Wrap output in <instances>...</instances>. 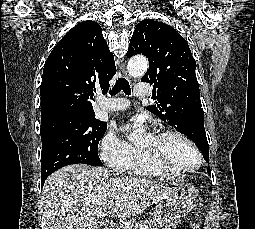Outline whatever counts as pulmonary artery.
Listing matches in <instances>:
<instances>
[{
  "label": "pulmonary artery",
  "mask_w": 255,
  "mask_h": 229,
  "mask_svg": "<svg viewBox=\"0 0 255 229\" xmlns=\"http://www.w3.org/2000/svg\"><path fill=\"white\" fill-rule=\"evenodd\" d=\"M151 93V87L148 84H137L134 88V95L138 97L148 96ZM129 106L128 100L125 98L113 97L102 103L101 109L103 111L113 112L127 108Z\"/></svg>",
  "instance_id": "e3ab8cb5"
}]
</instances>
